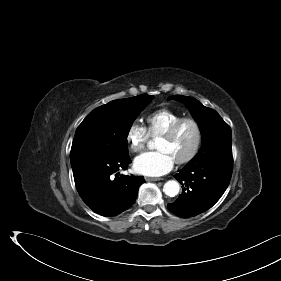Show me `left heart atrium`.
Returning <instances> with one entry per match:
<instances>
[{
	"mask_svg": "<svg viewBox=\"0 0 281 281\" xmlns=\"http://www.w3.org/2000/svg\"><path fill=\"white\" fill-rule=\"evenodd\" d=\"M175 160L166 151H149L137 156L134 160V169L145 176H162L173 168Z\"/></svg>",
	"mask_w": 281,
	"mask_h": 281,
	"instance_id": "39dd6f15",
	"label": "left heart atrium"
}]
</instances>
